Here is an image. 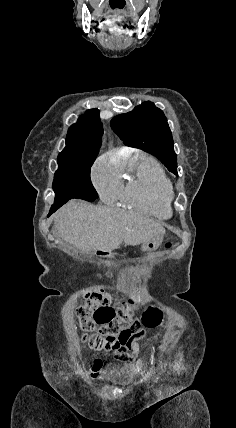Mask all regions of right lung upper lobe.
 Returning <instances> with one entry per match:
<instances>
[{
	"instance_id": "1",
	"label": "right lung upper lobe",
	"mask_w": 236,
	"mask_h": 428,
	"mask_svg": "<svg viewBox=\"0 0 236 428\" xmlns=\"http://www.w3.org/2000/svg\"><path fill=\"white\" fill-rule=\"evenodd\" d=\"M103 127L99 110H87L67 133L66 147L58 155L60 164H80L94 162L101 145Z\"/></svg>"
}]
</instances>
